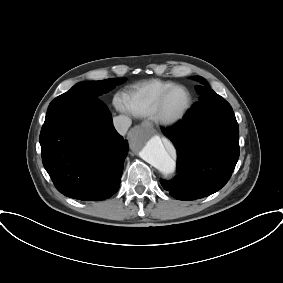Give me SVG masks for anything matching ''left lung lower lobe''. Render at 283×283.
Wrapping results in <instances>:
<instances>
[{
    "mask_svg": "<svg viewBox=\"0 0 283 283\" xmlns=\"http://www.w3.org/2000/svg\"><path fill=\"white\" fill-rule=\"evenodd\" d=\"M234 114L218 94L199 101L182 121L163 128L177 150V175L161 185L179 200H195L220 190L239 158V134L225 128Z\"/></svg>",
    "mask_w": 283,
    "mask_h": 283,
    "instance_id": "1",
    "label": "left lung lower lobe"
}]
</instances>
